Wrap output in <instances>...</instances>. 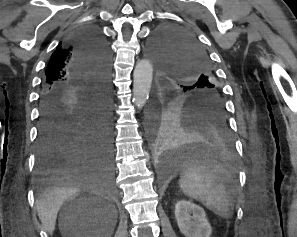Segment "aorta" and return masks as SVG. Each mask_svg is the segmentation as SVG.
<instances>
[{
  "label": "aorta",
  "instance_id": "obj_1",
  "mask_svg": "<svg viewBox=\"0 0 297 237\" xmlns=\"http://www.w3.org/2000/svg\"><path fill=\"white\" fill-rule=\"evenodd\" d=\"M153 77V66L147 59L140 60L134 69L133 102L141 109L149 96Z\"/></svg>",
  "mask_w": 297,
  "mask_h": 237
}]
</instances>
